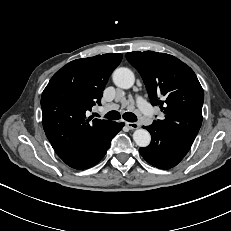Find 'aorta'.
I'll return each instance as SVG.
<instances>
[{
    "label": "aorta",
    "instance_id": "1",
    "mask_svg": "<svg viewBox=\"0 0 231 231\" xmlns=\"http://www.w3.org/2000/svg\"><path fill=\"white\" fill-rule=\"evenodd\" d=\"M114 84L122 89H129L134 85V73L125 67L117 68L112 75ZM133 140L140 147H146L151 142L150 133L145 129H137L133 133Z\"/></svg>",
    "mask_w": 231,
    "mask_h": 231
}]
</instances>
